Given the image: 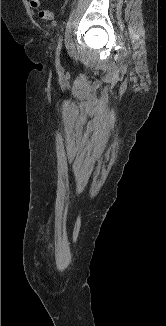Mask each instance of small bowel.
<instances>
[{"label": "small bowel", "mask_w": 166, "mask_h": 326, "mask_svg": "<svg viewBox=\"0 0 166 326\" xmlns=\"http://www.w3.org/2000/svg\"><path fill=\"white\" fill-rule=\"evenodd\" d=\"M31 7L34 9H39L41 6L40 0H30Z\"/></svg>", "instance_id": "1"}]
</instances>
